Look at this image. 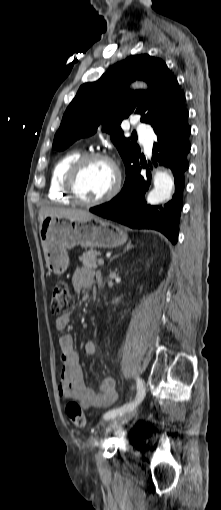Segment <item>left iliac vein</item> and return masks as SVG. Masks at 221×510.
Here are the masks:
<instances>
[{"label": "left iliac vein", "instance_id": "4c4485c4", "mask_svg": "<svg viewBox=\"0 0 221 510\" xmlns=\"http://www.w3.org/2000/svg\"><path fill=\"white\" fill-rule=\"evenodd\" d=\"M140 382L143 383V386L145 388L144 381L142 379H140ZM136 414H137V408L135 407L131 411H128L121 416L114 417L113 420L108 425L106 431L110 432L111 430H113L114 428H116L118 426L127 424L130 420H132L136 416Z\"/></svg>", "mask_w": 221, "mask_h": 510}]
</instances>
